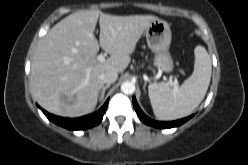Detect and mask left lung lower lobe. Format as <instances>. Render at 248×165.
<instances>
[{
	"label": "left lung lower lobe",
	"mask_w": 248,
	"mask_h": 165,
	"mask_svg": "<svg viewBox=\"0 0 248 165\" xmlns=\"http://www.w3.org/2000/svg\"><path fill=\"white\" fill-rule=\"evenodd\" d=\"M133 105L135 108L136 113L138 114L139 118L146 124L156 127V128H172V127H177L183 123H185L186 121H188L190 118H192V116H189L187 118L184 119H180L177 121H171V122H159V121H154L152 119H150L149 117H147L143 111L140 109L135 97H133Z\"/></svg>",
	"instance_id": "obj_1"
}]
</instances>
